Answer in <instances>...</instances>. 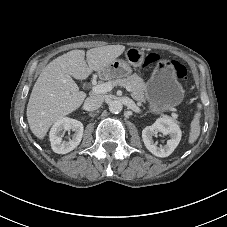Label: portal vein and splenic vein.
I'll return each mask as SVG.
<instances>
[{"label":"portal vein and splenic vein","instance_id":"portal-vein-and-splenic-vein-1","mask_svg":"<svg viewBox=\"0 0 227 227\" xmlns=\"http://www.w3.org/2000/svg\"><path fill=\"white\" fill-rule=\"evenodd\" d=\"M128 91L131 92V88L129 86H124ZM113 89V86L110 83H102V84H97L92 87V92L95 94H103L110 92ZM171 116L173 120H176L178 115L174 112L171 113Z\"/></svg>","mask_w":227,"mask_h":227}]
</instances>
